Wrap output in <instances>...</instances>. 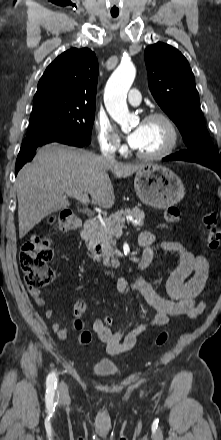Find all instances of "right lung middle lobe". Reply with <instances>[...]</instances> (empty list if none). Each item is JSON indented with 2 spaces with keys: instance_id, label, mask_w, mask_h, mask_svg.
I'll use <instances>...</instances> for the list:
<instances>
[{
  "instance_id": "1",
  "label": "right lung middle lobe",
  "mask_w": 221,
  "mask_h": 440,
  "mask_svg": "<svg viewBox=\"0 0 221 440\" xmlns=\"http://www.w3.org/2000/svg\"><path fill=\"white\" fill-rule=\"evenodd\" d=\"M95 105L41 101L34 103L27 137L66 136L90 144Z\"/></svg>"
}]
</instances>
